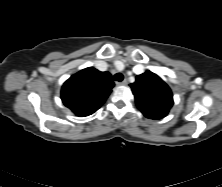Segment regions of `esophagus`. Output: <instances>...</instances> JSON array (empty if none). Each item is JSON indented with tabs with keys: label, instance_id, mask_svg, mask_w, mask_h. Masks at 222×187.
<instances>
[{
	"label": "esophagus",
	"instance_id": "obj_1",
	"mask_svg": "<svg viewBox=\"0 0 222 187\" xmlns=\"http://www.w3.org/2000/svg\"><path fill=\"white\" fill-rule=\"evenodd\" d=\"M126 84H127V80L126 79H124L121 82H117V85H126Z\"/></svg>",
	"mask_w": 222,
	"mask_h": 187
}]
</instances>
